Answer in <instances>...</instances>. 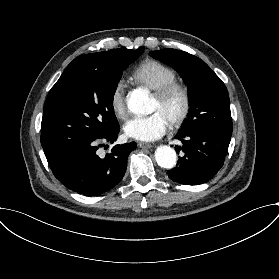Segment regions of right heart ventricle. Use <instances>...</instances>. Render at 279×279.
Listing matches in <instances>:
<instances>
[{
	"label": "right heart ventricle",
	"instance_id": "e07e8e85",
	"mask_svg": "<svg viewBox=\"0 0 279 279\" xmlns=\"http://www.w3.org/2000/svg\"><path fill=\"white\" fill-rule=\"evenodd\" d=\"M133 74L139 82L154 91L176 81L178 78L172 67L154 59H148L140 63Z\"/></svg>",
	"mask_w": 279,
	"mask_h": 279
}]
</instances>
